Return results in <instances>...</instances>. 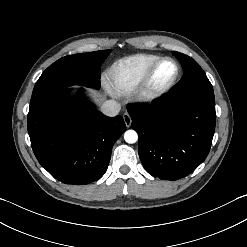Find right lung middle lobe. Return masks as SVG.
Masks as SVG:
<instances>
[{
  "label": "right lung middle lobe",
  "instance_id": "obj_1",
  "mask_svg": "<svg viewBox=\"0 0 247 247\" xmlns=\"http://www.w3.org/2000/svg\"><path fill=\"white\" fill-rule=\"evenodd\" d=\"M111 50L74 54L48 67L35 84L30 108L38 106L52 94L73 84L100 88V67Z\"/></svg>",
  "mask_w": 247,
  "mask_h": 247
}]
</instances>
